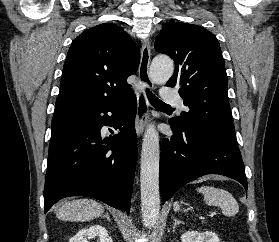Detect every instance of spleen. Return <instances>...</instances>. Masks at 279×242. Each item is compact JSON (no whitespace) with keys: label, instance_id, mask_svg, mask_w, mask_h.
I'll use <instances>...</instances> for the list:
<instances>
[{"label":"spleen","instance_id":"obj_1","mask_svg":"<svg viewBox=\"0 0 279 242\" xmlns=\"http://www.w3.org/2000/svg\"><path fill=\"white\" fill-rule=\"evenodd\" d=\"M197 191L203 194L206 204L220 207L224 215L233 216L238 213L239 205L228 191L212 186H201ZM174 210H179L178 203L174 204Z\"/></svg>","mask_w":279,"mask_h":242}]
</instances>
